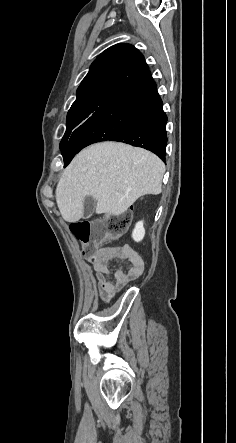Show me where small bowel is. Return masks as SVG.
<instances>
[{
	"mask_svg": "<svg viewBox=\"0 0 236 443\" xmlns=\"http://www.w3.org/2000/svg\"><path fill=\"white\" fill-rule=\"evenodd\" d=\"M126 261L129 264L127 269H110L112 261ZM92 265L96 273V282L100 296L104 300L111 299L120 293L132 281L136 280L144 270L142 257L131 247L120 245L115 247H102L98 256L92 260ZM114 277L111 281L110 277Z\"/></svg>",
	"mask_w": 236,
	"mask_h": 443,
	"instance_id": "1",
	"label": "small bowel"
}]
</instances>
